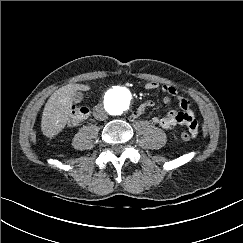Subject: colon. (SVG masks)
I'll list each match as a JSON object with an SVG mask.
<instances>
[{
  "label": "colon",
  "instance_id": "5ec220e1",
  "mask_svg": "<svg viewBox=\"0 0 243 243\" xmlns=\"http://www.w3.org/2000/svg\"><path fill=\"white\" fill-rule=\"evenodd\" d=\"M90 110L85 106H74L70 112L68 124L70 126H77L83 123L89 116ZM181 138L185 141H188L193 138L192 134L189 131H184L181 134Z\"/></svg>",
  "mask_w": 243,
  "mask_h": 243
}]
</instances>
